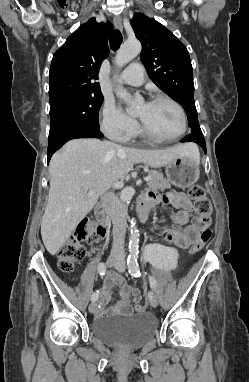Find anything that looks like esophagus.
I'll list each match as a JSON object with an SVG mask.
<instances>
[{"label": "esophagus", "instance_id": "obj_1", "mask_svg": "<svg viewBox=\"0 0 249 382\" xmlns=\"http://www.w3.org/2000/svg\"><path fill=\"white\" fill-rule=\"evenodd\" d=\"M113 22L117 29H119L120 31L123 30L122 20L119 16H115Z\"/></svg>", "mask_w": 249, "mask_h": 382}]
</instances>
